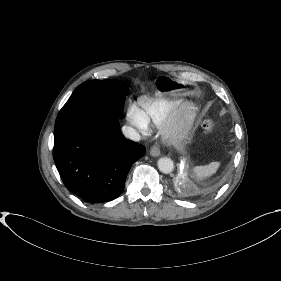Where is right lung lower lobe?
Wrapping results in <instances>:
<instances>
[{
    "label": "right lung lower lobe",
    "mask_w": 281,
    "mask_h": 281,
    "mask_svg": "<svg viewBox=\"0 0 281 281\" xmlns=\"http://www.w3.org/2000/svg\"><path fill=\"white\" fill-rule=\"evenodd\" d=\"M145 150L122 135L117 117L75 118L54 130L53 157L61 179L88 202L117 198Z\"/></svg>",
    "instance_id": "98d812e1"
}]
</instances>
